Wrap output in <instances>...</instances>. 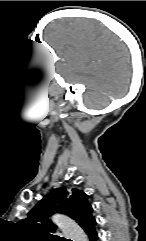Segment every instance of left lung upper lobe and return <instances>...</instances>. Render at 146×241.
<instances>
[{"mask_svg": "<svg viewBox=\"0 0 146 241\" xmlns=\"http://www.w3.org/2000/svg\"><path fill=\"white\" fill-rule=\"evenodd\" d=\"M92 211L93 208L83 191L76 188L69 191L61 187L52 190L39 201L21 224L28 231L35 233L38 238L46 241H60L62 238L51 234L57 227L49 220L50 215L56 212L66 214L83 228L94 220Z\"/></svg>", "mask_w": 146, "mask_h": 241, "instance_id": "obj_1", "label": "left lung upper lobe"}]
</instances>
